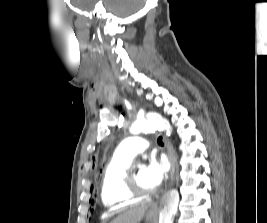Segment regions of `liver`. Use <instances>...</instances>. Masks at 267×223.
Returning <instances> with one entry per match:
<instances>
[{
  "label": "liver",
  "instance_id": "1",
  "mask_svg": "<svg viewBox=\"0 0 267 223\" xmlns=\"http://www.w3.org/2000/svg\"><path fill=\"white\" fill-rule=\"evenodd\" d=\"M148 207V204L132 207L116 217L111 223H139Z\"/></svg>",
  "mask_w": 267,
  "mask_h": 223
}]
</instances>
